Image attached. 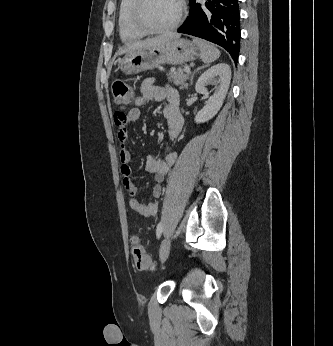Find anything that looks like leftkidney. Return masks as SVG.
Returning <instances> with one entry per match:
<instances>
[{
    "label": "left kidney",
    "mask_w": 333,
    "mask_h": 346,
    "mask_svg": "<svg viewBox=\"0 0 333 346\" xmlns=\"http://www.w3.org/2000/svg\"><path fill=\"white\" fill-rule=\"evenodd\" d=\"M231 80V69L226 63H219L206 70L197 80L196 92L206 95L207 85H215V93L208 103L195 116L196 123H204L212 119L223 105Z\"/></svg>",
    "instance_id": "5707ae66"
}]
</instances>
